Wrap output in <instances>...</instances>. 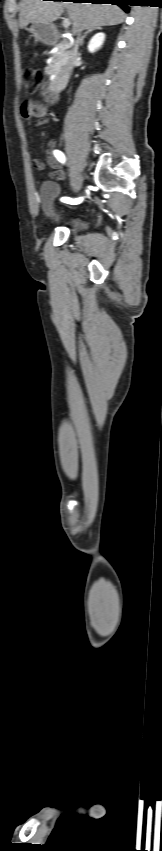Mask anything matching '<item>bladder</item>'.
Here are the masks:
<instances>
[{
    "mask_svg": "<svg viewBox=\"0 0 162 851\" xmlns=\"http://www.w3.org/2000/svg\"><path fill=\"white\" fill-rule=\"evenodd\" d=\"M58 195V185L55 182L46 181L41 185L40 188V201L43 206L44 211L49 215L55 218V222L57 224L66 226L72 232H81L83 231L87 223L86 221L79 216L75 215H66V214H57L56 213V197Z\"/></svg>",
    "mask_w": 162,
    "mask_h": 851,
    "instance_id": "31cf9c89",
    "label": "bladder"
}]
</instances>
